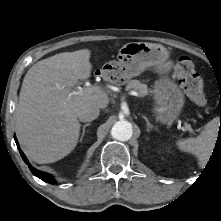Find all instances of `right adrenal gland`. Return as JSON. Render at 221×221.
Returning <instances> with one entry per match:
<instances>
[{
    "label": "right adrenal gland",
    "mask_w": 221,
    "mask_h": 221,
    "mask_svg": "<svg viewBox=\"0 0 221 221\" xmlns=\"http://www.w3.org/2000/svg\"><path fill=\"white\" fill-rule=\"evenodd\" d=\"M90 124H91V123H87V124L83 125L82 135H81V137H80V142L83 140V137H84V135H85V129H86V127L90 126Z\"/></svg>",
    "instance_id": "right-adrenal-gland-1"
}]
</instances>
